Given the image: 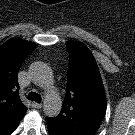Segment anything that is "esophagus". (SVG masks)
<instances>
[{"label":"esophagus","instance_id":"esophagus-1","mask_svg":"<svg viewBox=\"0 0 135 135\" xmlns=\"http://www.w3.org/2000/svg\"><path fill=\"white\" fill-rule=\"evenodd\" d=\"M32 107L33 108H37V109H39V108H41L42 107V104H40V103H36V102H32Z\"/></svg>","mask_w":135,"mask_h":135}]
</instances>
